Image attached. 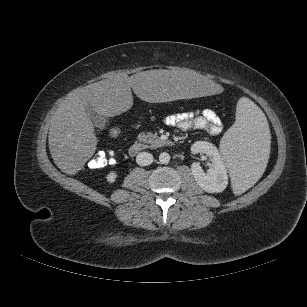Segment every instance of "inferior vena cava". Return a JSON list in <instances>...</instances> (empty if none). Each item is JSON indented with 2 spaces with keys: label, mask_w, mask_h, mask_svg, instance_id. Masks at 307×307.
<instances>
[{
  "label": "inferior vena cava",
  "mask_w": 307,
  "mask_h": 307,
  "mask_svg": "<svg viewBox=\"0 0 307 307\" xmlns=\"http://www.w3.org/2000/svg\"><path fill=\"white\" fill-rule=\"evenodd\" d=\"M136 162L140 166H148L153 162V155L148 152H141L136 156Z\"/></svg>",
  "instance_id": "1"
}]
</instances>
